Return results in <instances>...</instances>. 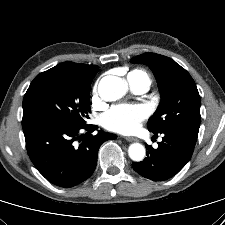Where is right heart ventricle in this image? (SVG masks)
Wrapping results in <instances>:
<instances>
[{
	"mask_svg": "<svg viewBox=\"0 0 225 225\" xmlns=\"http://www.w3.org/2000/svg\"><path fill=\"white\" fill-rule=\"evenodd\" d=\"M128 78L145 80L149 84L151 83V80H150V77L148 76V74L145 71L139 70V69L133 70L132 72H130L128 74Z\"/></svg>",
	"mask_w": 225,
	"mask_h": 225,
	"instance_id": "obj_1",
	"label": "right heart ventricle"
}]
</instances>
